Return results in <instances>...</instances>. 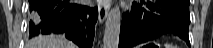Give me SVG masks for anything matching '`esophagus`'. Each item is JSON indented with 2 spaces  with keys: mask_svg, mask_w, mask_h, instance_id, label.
I'll use <instances>...</instances> for the list:
<instances>
[{
  "mask_svg": "<svg viewBox=\"0 0 213 48\" xmlns=\"http://www.w3.org/2000/svg\"><path fill=\"white\" fill-rule=\"evenodd\" d=\"M109 9H110V1L101 2L99 6V16H98V21L100 24L104 23Z\"/></svg>",
  "mask_w": 213,
  "mask_h": 48,
  "instance_id": "esophagus-1",
  "label": "esophagus"
}]
</instances>
